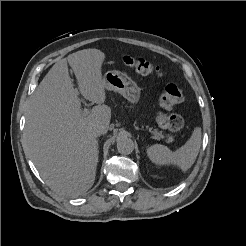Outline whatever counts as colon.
Segmentation results:
<instances>
[{"mask_svg":"<svg viewBox=\"0 0 246 246\" xmlns=\"http://www.w3.org/2000/svg\"><path fill=\"white\" fill-rule=\"evenodd\" d=\"M123 63L141 75H162L159 67L141 57L127 55L123 57ZM183 100L184 93L175 84H168L160 91L158 106L161 110L155 115V120L161 128L171 131H180L183 129L185 121L182 116L178 114L167 115L163 112L164 110H170Z\"/></svg>","mask_w":246,"mask_h":246,"instance_id":"1","label":"colon"}]
</instances>
